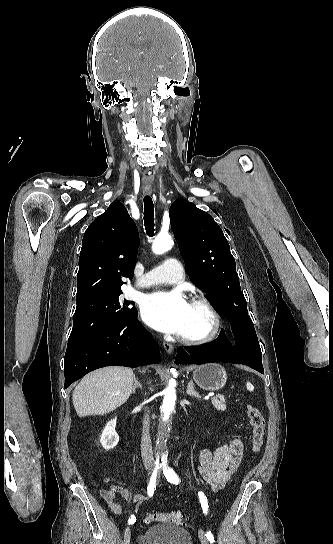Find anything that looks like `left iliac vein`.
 I'll use <instances>...</instances> for the list:
<instances>
[{
	"instance_id": "obj_1",
	"label": "left iliac vein",
	"mask_w": 333,
	"mask_h": 544,
	"mask_svg": "<svg viewBox=\"0 0 333 544\" xmlns=\"http://www.w3.org/2000/svg\"><path fill=\"white\" fill-rule=\"evenodd\" d=\"M199 539L201 541V544H209L208 539L204 535V532L202 530H199Z\"/></svg>"
}]
</instances>
